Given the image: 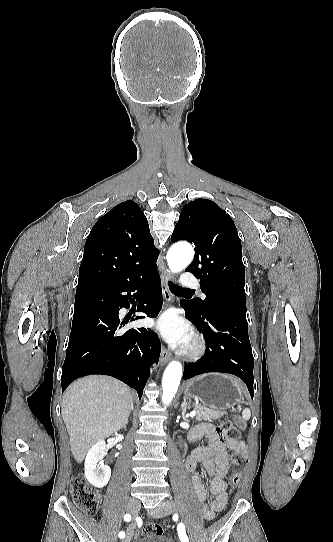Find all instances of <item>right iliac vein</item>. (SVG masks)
<instances>
[{
	"label": "right iliac vein",
	"mask_w": 333,
	"mask_h": 542,
	"mask_svg": "<svg viewBox=\"0 0 333 542\" xmlns=\"http://www.w3.org/2000/svg\"><path fill=\"white\" fill-rule=\"evenodd\" d=\"M139 507H140V502L138 499H135V498H132L128 501V504H127V510L132 514V515H137V512L139 510ZM133 533H134V526L133 524H131L128 528H127V535L125 537L124 540H122V542H130L133 538Z\"/></svg>",
	"instance_id": "right-iliac-vein-1"
}]
</instances>
